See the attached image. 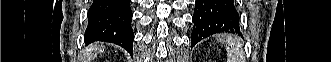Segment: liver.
Wrapping results in <instances>:
<instances>
[{
  "label": "liver",
  "mask_w": 331,
  "mask_h": 62,
  "mask_svg": "<svg viewBox=\"0 0 331 62\" xmlns=\"http://www.w3.org/2000/svg\"><path fill=\"white\" fill-rule=\"evenodd\" d=\"M102 49H104V45L103 44H99V43H93L91 44L86 52H87V60H91L92 58H94L98 53L102 52Z\"/></svg>",
  "instance_id": "liver-1"
}]
</instances>
